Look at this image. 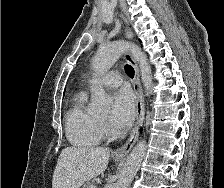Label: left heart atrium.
I'll list each match as a JSON object with an SVG mask.
<instances>
[{"label":"left heart atrium","instance_id":"39dd6f15","mask_svg":"<svg viewBox=\"0 0 224 188\" xmlns=\"http://www.w3.org/2000/svg\"><path fill=\"white\" fill-rule=\"evenodd\" d=\"M134 96L129 89H121L113 96L110 122L117 129H126L134 121Z\"/></svg>","mask_w":224,"mask_h":188}]
</instances>
